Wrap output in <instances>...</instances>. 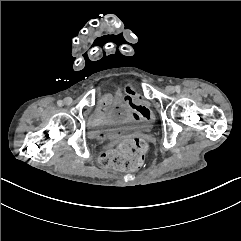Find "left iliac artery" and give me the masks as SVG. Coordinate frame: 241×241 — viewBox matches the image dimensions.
<instances>
[{
  "label": "left iliac artery",
  "instance_id": "44dca946",
  "mask_svg": "<svg viewBox=\"0 0 241 241\" xmlns=\"http://www.w3.org/2000/svg\"><path fill=\"white\" fill-rule=\"evenodd\" d=\"M175 90H176L177 92H180L181 87H180L179 85H177V86H175Z\"/></svg>",
  "mask_w": 241,
  "mask_h": 241
}]
</instances>
